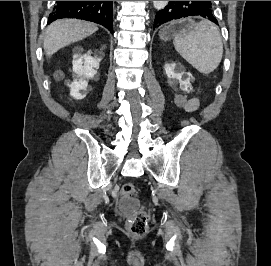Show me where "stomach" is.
<instances>
[{
  "mask_svg": "<svg viewBox=\"0 0 271 266\" xmlns=\"http://www.w3.org/2000/svg\"><path fill=\"white\" fill-rule=\"evenodd\" d=\"M180 33L176 24H171L169 26L164 27L159 32V36L162 40L167 41L171 38L175 37L177 34Z\"/></svg>",
  "mask_w": 271,
  "mask_h": 266,
  "instance_id": "stomach-1",
  "label": "stomach"
}]
</instances>
